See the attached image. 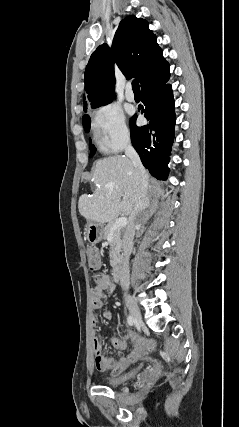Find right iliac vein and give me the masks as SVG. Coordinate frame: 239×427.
<instances>
[{"mask_svg": "<svg viewBox=\"0 0 239 427\" xmlns=\"http://www.w3.org/2000/svg\"><path fill=\"white\" fill-rule=\"evenodd\" d=\"M125 302H126V305L129 309V312H130L131 316L134 318V320L141 323L142 322L141 311H140V308L137 305L136 301L134 300V298L131 295L126 294L125 295Z\"/></svg>", "mask_w": 239, "mask_h": 427, "instance_id": "obj_1", "label": "right iliac vein"}]
</instances>
